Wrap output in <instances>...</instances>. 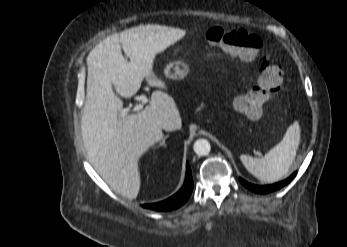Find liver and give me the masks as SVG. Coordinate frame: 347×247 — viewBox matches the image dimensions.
Returning <instances> with one entry per match:
<instances>
[{
  "mask_svg": "<svg viewBox=\"0 0 347 247\" xmlns=\"http://www.w3.org/2000/svg\"><path fill=\"white\" fill-rule=\"evenodd\" d=\"M185 35L181 29L140 25L114 33L97 44L87 57L86 100L81 130L89 161L117 193L137 197L141 178L138 162L163 138L160 122L166 118L182 126L174 99L154 91L151 101L139 113L118 117L123 98L132 97L144 79L150 86L166 88L153 72L155 55ZM130 58L128 62L122 51Z\"/></svg>",
  "mask_w": 347,
  "mask_h": 247,
  "instance_id": "1",
  "label": "liver"
}]
</instances>
